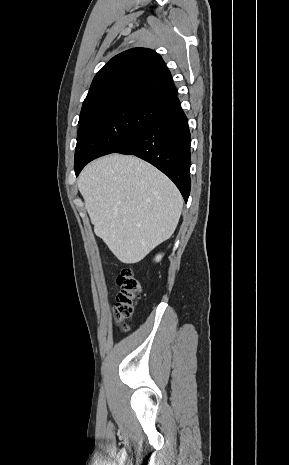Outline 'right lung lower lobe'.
Here are the masks:
<instances>
[{
  "label": "right lung lower lobe",
  "mask_w": 289,
  "mask_h": 465,
  "mask_svg": "<svg viewBox=\"0 0 289 465\" xmlns=\"http://www.w3.org/2000/svg\"><path fill=\"white\" fill-rule=\"evenodd\" d=\"M190 131L177 96L161 104L159 113L115 152L135 155L166 174L187 202L190 188ZM93 159L75 165L76 176Z\"/></svg>",
  "instance_id": "obj_1"
}]
</instances>
